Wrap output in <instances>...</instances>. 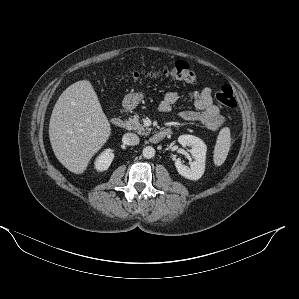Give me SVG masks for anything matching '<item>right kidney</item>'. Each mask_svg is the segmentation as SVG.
I'll list each match as a JSON object with an SVG mask.
<instances>
[{
    "label": "right kidney",
    "mask_w": 299,
    "mask_h": 299,
    "mask_svg": "<svg viewBox=\"0 0 299 299\" xmlns=\"http://www.w3.org/2000/svg\"><path fill=\"white\" fill-rule=\"evenodd\" d=\"M114 158V154L111 149H106L103 151L95 161V168L98 171H105L109 168L112 160Z\"/></svg>",
    "instance_id": "ca27d5eb"
}]
</instances>
